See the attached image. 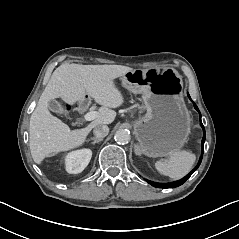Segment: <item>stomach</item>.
I'll return each mask as SVG.
<instances>
[{
	"mask_svg": "<svg viewBox=\"0 0 239 239\" xmlns=\"http://www.w3.org/2000/svg\"><path fill=\"white\" fill-rule=\"evenodd\" d=\"M123 86L142 94L147 113L133 122L140 151L149 158L179 152L191 132V121L182 97L180 75L161 70L135 69L121 77Z\"/></svg>",
	"mask_w": 239,
	"mask_h": 239,
	"instance_id": "stomach-1",
	"label": "stomach"
}]
</instances>
